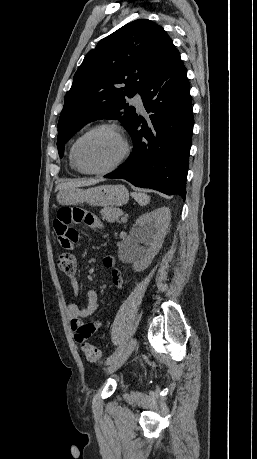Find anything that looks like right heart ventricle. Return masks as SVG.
<instances>
[{"label":"right heart ventricle","instance_id":"1","mask_svg":"<svg viewBox=\"0 0 257 459\" xmlns=\"http://www.w3.org/2000/svg\"><path fill=\"white\" fill-rule=\"evenodd\" d=\"M71 148H72V147H71ZM71 148H70V152H69V162H70V166H71V168H72L74 171L80 172V171L76 168V166H75V164H74V162H73V160H72Z\"/></svg>","mask_w":257,"mask_h":459}]
</instances>
